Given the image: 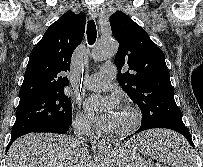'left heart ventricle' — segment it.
I'll use <instances>...</instances> for the list:
<instances>
[{"mask_svg":"<svg viewBox=\"0 0 203 167\" xmlns=\"http://www.w3.org/2000/svg\"><path fill=\"white\" fill-rule=\"evenodd\" d=\"M131 122L130 116L126 111L120 112V114L116 117L111 130H122L129 126Z\"/></svg>","mask_w":203,"mask_h":167,"instance_id":"left-heart-ventricle-1","label":"left heart ventricle"}]
</instances>
